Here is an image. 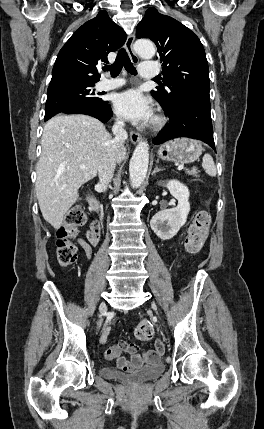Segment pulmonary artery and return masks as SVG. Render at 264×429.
Instances as JSON below:
<instances>
[{"label":"pulmonary artery","instance_id":"e3ab8cb5","mask_svg":"<svg viewBox=\"0 0 264 429\" xmlns=\"http://www.w3.org/2000/svg\"><path fill=\"white\" fill-rule=\"evenodd\" d=\"M139 72L141 77L145 79H151L156 77L159 74L160 70L155 62L146 61L140 65ZM123 84L124 81L122 79H104L98 83V89L102 91L112 90L121 87Z\"/></svg>","mask_w":264,"mask_h":429}]
</instances>
